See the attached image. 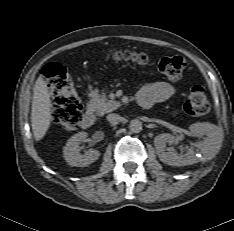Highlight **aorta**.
Segmentation results:
<instances>
[{
	"label": "aorta",
	"instance_id": "1",
	"mask_svg": "<svg viewBox=\"0 0 234 231\" xmlns=\"http://www.w3.org/2000/svg\"><path fill=\"white\" fill-rule=\"evenodd\" d=\"M143 128V124L139 119H133L129 123V130L133 133H139Z\"/></svg>",
	"mask_w": 234,
	"mask_h": 231
}]
</instances>
